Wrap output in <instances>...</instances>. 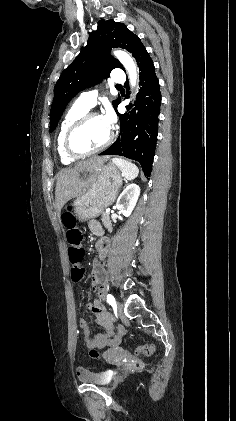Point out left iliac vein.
Returning <instances> with one entry per match:
<instances>
[{
  "label": "left iliac vein",
  "instance_id": "left-iliac-vein-1",
  "mask_svg": "<svg viewBox=\"0 0 236 421\" xmlns=\"http://www.w3.org/2000/svg\"><path fill=\"white\" fill-rule=\"evenodd\" d=\"M116 310H117L118 315H120L122 313L123 306L119 301H117V303H116Z\"/></svg>",
  "mask_w": 236,
  "mask_h": 421
}]
</instances>
